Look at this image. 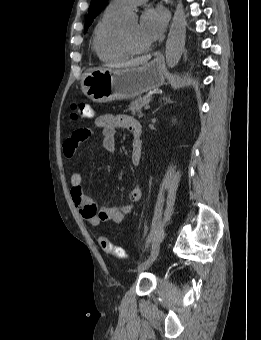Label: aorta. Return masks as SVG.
Listing matches in <instances>:
<instances>
[{
	"label": "aorta",
	"mask_w": 261,
	"mask_h": 340,
	"mask_svg": "<svg viewBox=\"0 0 261 340\" xmlns=\"http://www.w3.org/2000/svg\"><path fill=\"white\" fill-rule=\"evenodd\" d=\"M129 18H132V16ZM186 25L183 5L181 0H179L166 42L165 56L169 68L175 67L183 54L186 40Z\"/></svg>",
	"instance_id": "aorta-1"
}]
</instances>
